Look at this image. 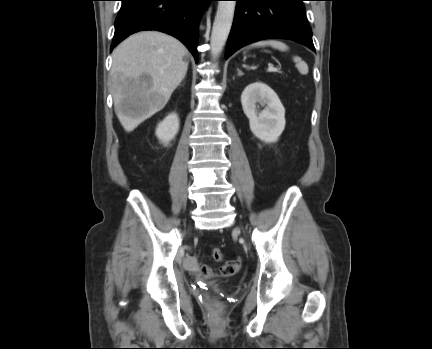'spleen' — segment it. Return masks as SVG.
I'll use <instances>...</instances> for the list:
<instances>
[{
  "label": "spleen",
  "mask_w": 432,
  "mask_h": 349,
  "mask_svg": "<svg viewBox=\"0 0 432 349\" xmlns=\"http://www.w3.org/2000/svg\"><path fill=\"white\" fill-rule=\"evenodd\" d=\"M264 46H271L280 51L288 50V46L285 43L278 40H262L253 43L250 47H264ZM293 61L296 63V67L301 74L306 75L308 73V66L300 57L294 56Z\"/></svg>",
  "instance_id": "3e777b00"
}]
</instances>
